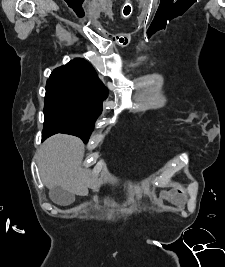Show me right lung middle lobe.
Listing matches in <instances>:
<instances>
[{
  "instance_id": "right-lung-middle-lobe-1",
  "label": "right lung middle lobe",
  "mask_w": 225,
  "mask_h": 267,
  "mask_svg": "<svg viewBox=\"0 0 225 267\" xmlns=\"http://www.w3.org/2000/svg\"><path fill=\"white\" fill-rule=\"evenodd\" d=\"M102 105L86 92L62 84H47L44 100L45 133H66L80 137L84 143L93 131Z\"/></svg>"
}]
</instances>
